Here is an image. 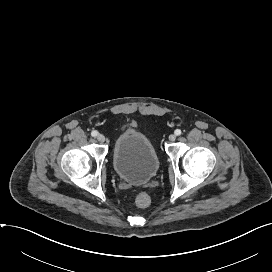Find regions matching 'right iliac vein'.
<instances>
[{"label":"right iliac vein","mask_w":272,"mask_h":272,"mask_svg":"<svg viewBox=\"0 0 272 272\" xmlns=\"http://www.w3.org/2000/svg\"><path fill=\"white\" fill-rule=\"evenodd\" d=\"M97 140H98L99 142H104V141H105V136H104L103 134H98V135H97Z\"/></svg>","instance_id":"obj_1"}]
</instances>
